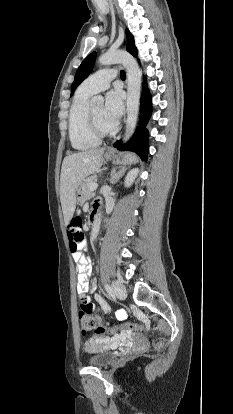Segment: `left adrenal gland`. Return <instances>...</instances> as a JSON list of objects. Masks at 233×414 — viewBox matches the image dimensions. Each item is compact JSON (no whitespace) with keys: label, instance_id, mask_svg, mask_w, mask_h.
<instances>
[{"label":"left adrenal gland","instance_id":"1","mask_svg":"<svg viewBox=\"0 0 233 414\" xmlns=\"http://www.w3.org/2000/svg\"><path fill=\"white\" fill-rule=\"evenodd\" d=\"M129 167L126 166H120V167H116L113 169L112 173H111V179L110 182L111 184H115L119 181V179L124 175V173L126 172V170Z\"/></svg>","mask_w":233,"mask_h":414}]
</instances>
